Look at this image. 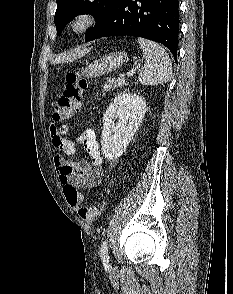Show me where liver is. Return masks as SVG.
<instances>
[{
  "mask_svg": "<svg viewBox=\"0 0 233 294\" xmlns=\"http://www.w3.org/2000/svg\"><path fill=\"white\" fill-rule=\"evenodd\" d=\"M86 53V50H83V51H77L76 53H70L68 55H65V56H62V57H59L57 58L54 63H59V62H68V61H71L73 59H75L76 57L78 56H81L83 54Z\"/></svg>",
  "mask_w": 233,
  "mask_h": 294,
  "instance_id": "6515ba94",
  "label": "liver"
}]
</instances>
